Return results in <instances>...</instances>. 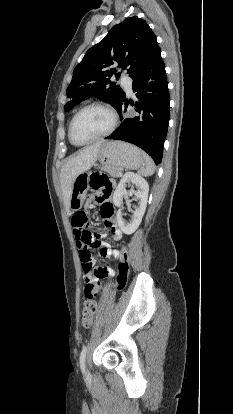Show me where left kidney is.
<instances>
[{
  "mask_svg": "<svg viewBox=\"0 0 233 414\" xmlns=\"http://www.w3.org/2000/svg\"><path fill=\"white\" fill-rule=\"evenodd\" d=\"M134 184L137 188V191L130 190L127 192L126 184ZM148 192H149V185L147 181L138 174L133 172H127L124 174L122 179L120 180L114 195H113V203L117 207H121L122 205V198L124 195H132L134 194L137 199L139 200L138 206L133 211L132 220L130 223H126L122 218L121 209L117 211V222L118 226L120 227L121 231L127 235L133 234L137 228L139 227L142 218L144 216L146 206H147V199H148Z\"/></svg>",
  "mask_w": 233,
  "mask_h": 414,
  "instance_id": "obj_1",
  "label": "left kidney"
}]
</instances>
